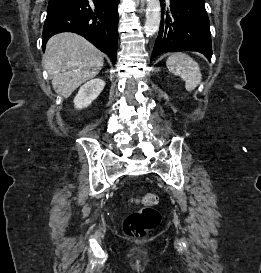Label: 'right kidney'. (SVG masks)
<instances>
[{"label": "right kidney", "instance_id": "1", "mask_svg": "<svg viewBox=\"0 0 261 273\" xmlns=\"http://www.w3.org/2000/svg\"><path fill=\"white\" fill-rule=\"evenodd\" d=\"M105 82L102 79H92L85 83L74 98L76 109L88 107L102 92Z\"/></svg>", "mask_w": 261, "mask_h": 273}]
</instances>
